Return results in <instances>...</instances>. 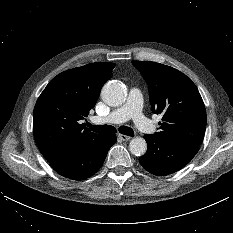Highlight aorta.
Instances as JSON below:
<instances>
[{"label": "aorta", "instance_id": "762f6f07", "mask_svg": "<svg viewBox=\"0 0 233 233\" xmlns=\"http://www.w3.org/2000/svg\"><path fill=\"white\" fill-rule=\"evenodd\" d=\"M101 97L109 106H119L126 100V91L120 82L109 81L103 86ZM129 150L135 156L145 154L147 150V143L145 139L141 137L133 138L129 143Z\"/></svg>", "mask_w": 233, "mask_h": 233}]
</instances>
